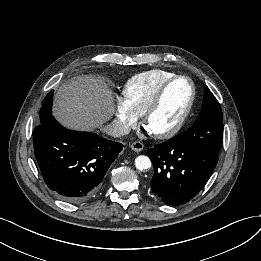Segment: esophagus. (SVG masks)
Listing matches in <instances>:
<instances>
[{
    "label": "esophagus",
    "instance_id": "esophagus-1",
    "mask_svg": "<svg viewBox=\"0 0 261 261\" xmlns=\"http://www.w3.org/2000/svg\"><path fill=\"white\" fill-rule=\"evenodd\" d=\"M130 147L135 152H141L144 149V145L140 141L133 142Z\"/></svg>",
    "mask_w": 261,
    "mask_h": 261
}]
</instances>
